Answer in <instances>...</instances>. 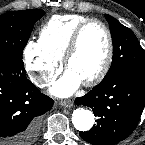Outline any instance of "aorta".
Here are the masks:
<instances>
[{"mask_svg": "<svg viewBox=\"0 0 145 145\" xmlns=\"http://www.w3.org/2000/svg\"><path fill=\"white\" fill-rule=\"evenodd\" d=\"M73 126L79 131H88L95 123L94 114L87 109L77 108L72 113Z\"/></svg>", "mask_w": 145, "mask_h": 145, "instance_id": "1", "label": "aorta"}]
</instances>
